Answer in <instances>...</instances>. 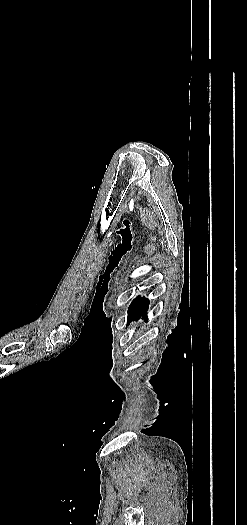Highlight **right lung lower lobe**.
<instances>
[{
  "instance_id": "right-lung-lower-lobe-1",
  "label": "right lung lower lobe",
  "mask_w": 247,
  "mask_h": 525,
  "mask_svg": "<svg viewBox=\"0 0 247 525\" xmlns=\"http://www.w3.org/2000/svg\"><path fill=\"white\" fill-rule=\"evenodd\" d=\"M149 300L145 297L137 296L130 304L128 309V324L140 317L147 320V310L149 307Z\"/></svg>"
}]
</instances>
